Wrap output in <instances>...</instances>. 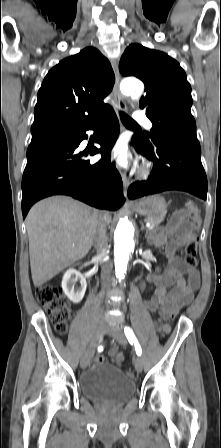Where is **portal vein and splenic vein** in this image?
Here are the masks:
<instances>
[{
    "label": "portal vein and splenic vein",
    "mask_w": 221,
    "mask_h": 448,
    "mask_svg": "<svg viewBox=\"0 0 221 448\" xmlns=\"http://www.w3.org/2000/svg\"><path fill=\"white\" fill-rule=\"evenodd\" d=\"M146 227L149 228V229H152V228H153V226H152L151 223H149V222L146 223Z\"/></svg>",
    "instance_id": "18ae733b"
}]
</instances>
